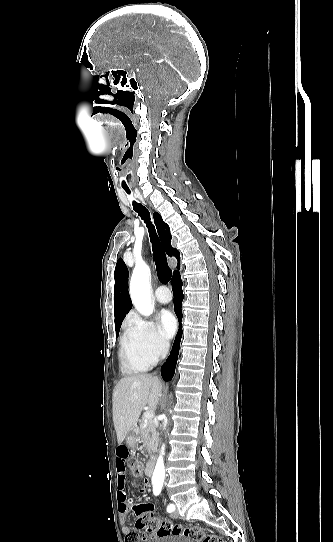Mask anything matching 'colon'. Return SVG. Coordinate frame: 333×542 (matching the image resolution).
<instances>
[{
    "mask_svg": "<svg viewBox=\"0 0 333 542\" xmlns=\"http://www.w3.org/2000/svg\"><path fill=\"white\" fill-rule=\"evenodd\" d=\"M129 465L135 477H140L146 472V466L140 460L132 458ZM153 506L151 500H144L132 507L136 528H141L144 534L152 539L173 535L193 542H230L229 536H217L205 532L198 526L191 527L160 519L152 514ZM128 538L127 542H142L144 540L143 538L138 539L139 535L135 531L130 532Z\"/></svg>",
    "mask_w": 333,
    "mask_h": 542,
    "instance_id": "colon-1",
    "label": "colon"
}]
</instances>
